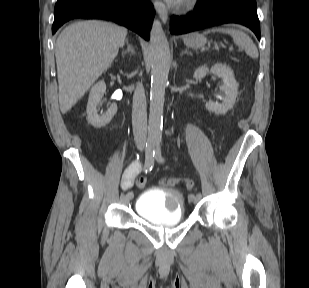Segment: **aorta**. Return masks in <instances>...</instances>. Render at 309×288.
Instances as JSON below:
<instances>
[{
    "mask_svg": "<svg viewBox=\"0 0 309 288\" xmlns=\"http://www.w3.org/2000/svg\"><path fill=\"white\" fill-rule=\"evenodd\" d=\"M151 46V89L148 134L151 139L162 136L165 88L170 68V49L162 25L153 21L150 32Z\"/></svg>",
    "mask_w": 309,
    "mask_h": 288,
    "instance_id": "1",
    "label": "aorta"
}]
</instances>
